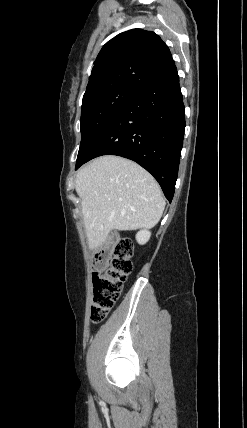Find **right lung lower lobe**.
<instances>
[{
    "label": "right lung lower lobe",
    "instance_id": "right-lung-lower-lobe-1",
    "mask_svg": "<svg viewBox=\"0 0 247 428\" xmlns=\"http://www.w3.org/2000/svg\"><path fill=\"white\" fill-rule=\"evenodd\" d=\"M185 129L176 66L141 90L96 136L76 161L106 154L131 159L150 172L172 201Z\"/></svg>",
    "mask_w": 247,
    "mask_h": 428
}]
</instances>
